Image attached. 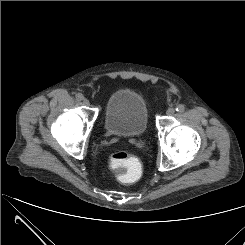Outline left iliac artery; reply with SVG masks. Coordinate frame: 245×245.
Listing matches in <instances>:
<instances>
[{"label": "left iliac artery", "instance_id": "obj_1", "mask_svg": "<svg viewBox=\"0 0 245 245\" xmlns=\"http://www.w3.org/2000/svg\"><path fill=\"white\" fill-rule=\"evenodd\" d=\"M185 110V106L183 104H179L177 107H176V111L177 112H183Z\"/></svg>", "mask_w": 245, "mask_h": 245}]
</instances>
